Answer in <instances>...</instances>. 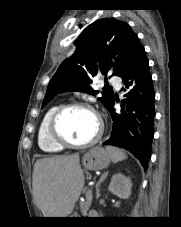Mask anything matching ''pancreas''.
<instances>
[{
	"mask_svg": "<svg viewBox=\"0 0 181 227\" xmlns=\"http://www.w3.org/2000/svg\"><path fill=\"white\" fill-rule=\"evenodd\" d=\"M90 205H91V202L90 200L88 199V197H86V201L85 202H81L80 203V210H81V213L84 217H86L87 215V212L90 208Z\"/></svg>",
	"mask_w": 181,
	"mask_h": 227,
	"instance_id": "1",
	"label": "pancreas"
}]
</instances>
